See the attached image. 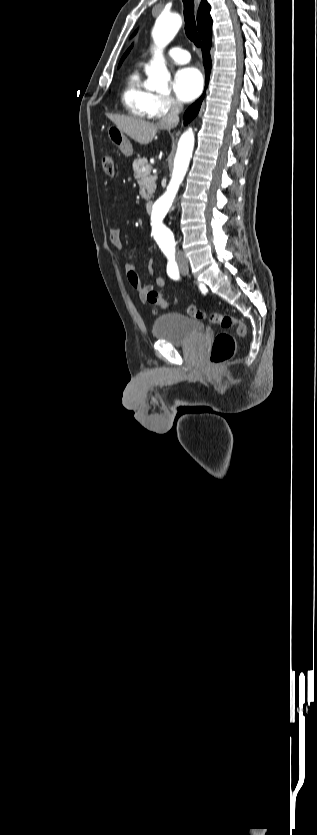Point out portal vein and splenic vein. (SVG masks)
I'll return each instance as SVG.
<instances>
[{"label": "portal vein and splenic vein", "instance_id": "1", "mask_svg": "<svg viewBox=\"0 0 317 835\" xmlns=\"http://www.w3.org/2000/svg\"><path fill=\"white\" fill-rule=\"evenodd\" d=\"M147 170H148V168H146V167H143V168H142V171H143V172H146Z\"/></svg>", "mask_w": 317, "mask_h": 835}]
</instances>
